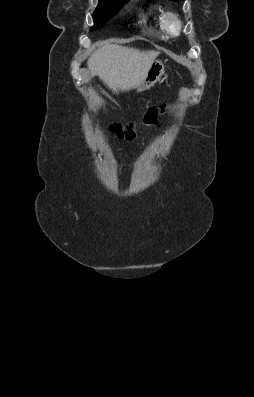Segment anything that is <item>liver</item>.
<instances>
[{
  "label": "liver",
  "mask_w": 254,
  "mask_h": 397,
  "mask_svg": "<svg viewBox=\"0 0 254 397\" xmlns=\"http://www.w3.org/2000/svg\"><path fill=\"white\" fill-rule=\"evenodd\" d=\"M157 52L106 44L88 59L91 76L97 75L114 93L138 87Z\"/></svg>",
  "instance_id": "liver-1"
}]
</instances>
